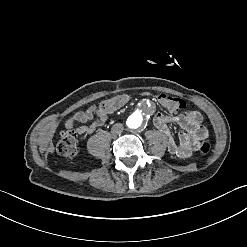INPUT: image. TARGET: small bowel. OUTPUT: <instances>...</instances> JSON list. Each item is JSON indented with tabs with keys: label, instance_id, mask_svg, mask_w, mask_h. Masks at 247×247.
<instances>
[{
	"label": "small bowel",
	"instance_id": "c3829d8e",
	"mask_svg": "<svg viewBox=\"0 0 247 247\" xmlns=\"http://www.w3.org/2000/svg\"><path fill=\"white\" fill-rule=\"evenodd\" d=\"M92 119H94V122L91 125H83V123ZM107 119L108 112L102 106L92 105L86 110L77 111L71 115L65 121V128L78 135H86L103 126ZM201 122L202 115L196 110L171 115L157 113L153 118L154 126L167 137L168 151L182 159H187L198 151L200 142L207 136V131ZM169 123L179 125L183 131L175 136L168 126Z\"/></svg>",
	"mask_w": 247,
	"mask_h": 247
}]
</instances>
